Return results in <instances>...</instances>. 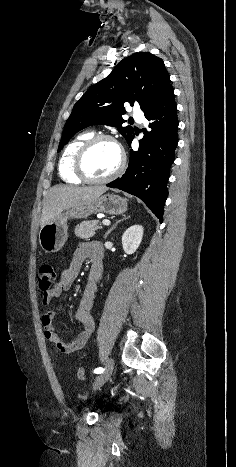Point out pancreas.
Returning <instances> with one entry per match:
<instances>
[{
    "label": "pancreas",
    "mask_w": 236,
    "mask_h": 467,
    "mask_svg": "<svg viewBox=\"0 0 236 467\" xmlns=\"http://www.w3.org/2000/svg\"><path fill=\"white\" fill-rule=\"evenodd\" d=\"M100 229L102 226H100L99 220H92L78 224L74 232L76 237L88 240L95 235V231Z\"/></svg>",
    "instance_id": "pancreas-1"
}]
</instances>
